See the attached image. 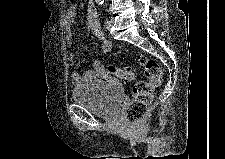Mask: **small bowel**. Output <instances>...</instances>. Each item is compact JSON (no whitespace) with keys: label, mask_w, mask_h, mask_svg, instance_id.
Here are the masks:
<instances>
[{"label":"small bowel","mask_w":225,"mask_h":159,"mask_svg":"<svg viewBox=\"0 0 225 159\" xmlns=\"http://www.w3.org/2000/svg\"><path fill=\"white\" fill-rule=\"evenodd\" d=\"M77 11H78L77 7L75 5H72L67 10L65 16V28H66L65 38L69 45H71L73 42V34L71 27L77 16ZM86 26L88 30L99 40L101 52L103 54L110 52L112 45L103 34V31L99 24L96 6L94 3H89L86 7ZM69 61L70 64L73 66L76 64V58L73 54L70 55ZM94 79H106L108 81L112 80V78L105 71L102 61L99 59L93 60L91 68L89 70L83 73L76 71L73 72L72 74V81L76 85Z\"/></svg>","instance_id":"small-bowel-1"}]
</instances>
